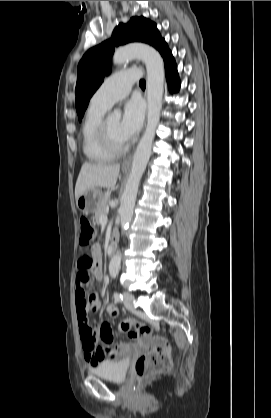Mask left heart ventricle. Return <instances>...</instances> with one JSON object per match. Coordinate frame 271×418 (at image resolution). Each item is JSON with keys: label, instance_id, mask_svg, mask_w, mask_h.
Returning a JSON list of instances; mask_svg holds the SVG:
<instances>
[{"label": "left heart ventricle", "instance_id": "1", "mask_svg": "<svg viewBox=\"0 0 271 418\" xmlns=\"http://www.w3.org/2000/svg\"><path fill=\"white\" fill-rule=\"evenodd\" d=\"M120 122V119L116 117H110L108 120L111 134L116 141H124L120 132Z\"/></svg>", "mask_w": 271, "mask_h": 418}]
</instances>
